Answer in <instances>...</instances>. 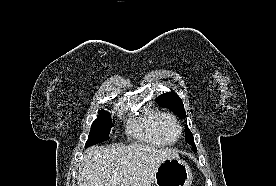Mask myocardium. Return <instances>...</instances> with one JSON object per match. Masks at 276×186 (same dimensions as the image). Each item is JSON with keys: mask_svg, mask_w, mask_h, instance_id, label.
Returning a JSON list of instances; mask_svg holds the SVG:
<instances>
[{"mask_svg": "<svg viewBox=\"0 0 276 186\" xmlns=\"http://www.w3.org/2000/svg\"><path fill=\"white\" fill-rule=\"evenodd\" d=\"M167 121H172L178 128V136L175 140L169 139L165 133L164 125ZM158 131H159L160 136L162 137V139L165 142H167L168 144H174L181 138L183 129H182V125H181L179 119L174 114L162 113V115L160 116L159 121H158Z\"/></svg>", "mask_w": 276, "mask_h": 186, "instance_id": "f54148a6", "label": "myocardium"}]
</instances>
